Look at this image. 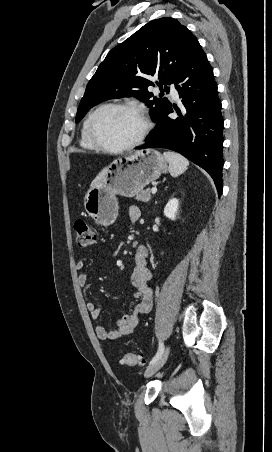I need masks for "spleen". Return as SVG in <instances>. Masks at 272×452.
<instances>
[{
	"instance_id": "1",
	"label": "spleen",
	"mask_w": 272,
	"mask_h": 452,
	"mask_svg": "<svg viewBox=\"0 0 272 452\" xmlns=\"http://www.w3.org/2000/svg\"><path fill=\"white\" fill-rule=\"evenodd\" d=\"M165 160L169 163V173L173 177H177L184 173L189 165V161L182 155L172 152L165 151L163 153Z\"/></svg>"
}]
</instances>
